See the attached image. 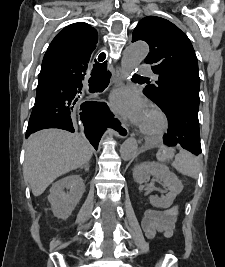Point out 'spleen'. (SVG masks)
<instances>
[{"instance_id":"1","label":"spleen","mask_w":225,"mask_h":267,"mask_svg":"<svg viewBox=\"0 0 225 267\" xmlns=\"http://www.w3.org/2000/svg\"><path fill=\"white\" fill-rule=\"evenodd\" d=\"M159 162H169L174 158L172 167L181 174L196 179L200 171V165L195 156L190 152L181 149L178 154L175 155L174 148H168L165 146L160 147L156 154Z\"/></svg>"}]
</instances>
